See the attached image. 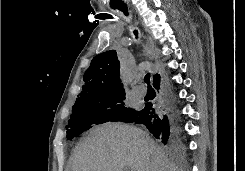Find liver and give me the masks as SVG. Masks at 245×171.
I'll list each match as a JSON object with an SVG mask.
<instances>
[{"instance_id": "obj_1", "label": "liver", "mask_w": 245, "mask_h": 171, "mask_svg": "<svg viewBox=\"0 0 245 171\" xmlns=\"http://www.w3.org/2000/svg\"><path fill=\"white\" fill-rule=\"evenodd\" d=\"M72 171H178L141 129L106 123L95 127L71 158Z\"/></svg>"}]
</instances>
